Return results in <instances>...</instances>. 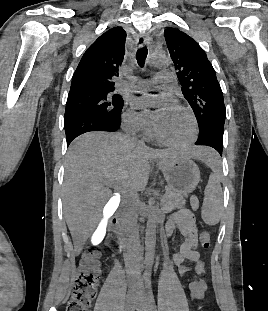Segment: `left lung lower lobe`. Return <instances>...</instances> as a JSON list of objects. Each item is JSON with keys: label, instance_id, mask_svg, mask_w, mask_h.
Listing matches in <instances>:
<instances>
[{"label": "left lung lower lobe", "instance_id": "1", "mask_svg": "<svg viewBox=\"0 0 268 311\" xmlns=\"http://www.w3.org/2000/svg\"><path fill=\"white\" fill-rule=\"evenodd\" d=\"M222 124H219V127L207 131L200 132L197 144H208L209 147L215 148L222 156L223 149V132L224 129Z\"/></svg>", "mask_w": 268, "mask_h": 311}]
</instances>
